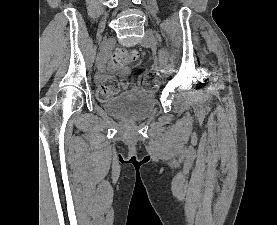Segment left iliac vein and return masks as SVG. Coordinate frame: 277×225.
Returning <instances> with one entry per match:
<instances>
[{
    "mask_svg": "<svg viewBox=\"0 0 277 225\" xmlns=\"http://www.w3.org/2000/svg\"><path fill=\"white\" fill-rule=\"evenodd\" d=\"M143 47H153L156 44V38L152 31L146 30L143 39L140 42ZM160 71L163 72L164 75L169 76V72L166 69V64L163 61L159 63Z\"/></svg>",
    "mask_w": 277,
    "mask_h": 225,
    "instance_id": "4c4485c4",
    "label": "left iliac vein"
}]
</instances>
